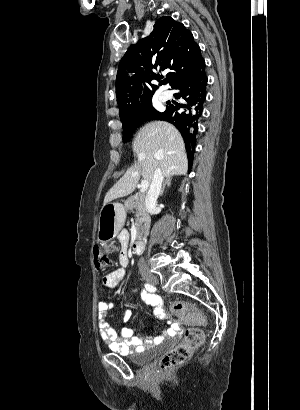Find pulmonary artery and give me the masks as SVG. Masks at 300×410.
I'll return each instance as SVG.
<instances>
[{"mask_svg": "<svg viewBox=\"0 0 300 410\" xmlns=\"http://www.w3.org/2000/svg\"><path fill=\"white\" fill-rule=\"evenodd\" d=\"M171 98V94L169 92H162L160 94V100L162 102H166L167 100H169Z\"/></svg>", "mask_w": 300, "mask_h": 410, "instance_id": "obj_1", "label": "pulmonary artery"}]
</instances>
